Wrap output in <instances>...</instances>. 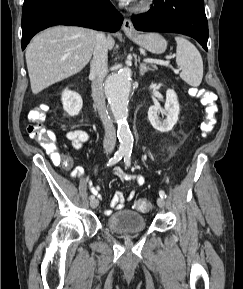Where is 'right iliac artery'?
Listing matches in <instances>:
<instances>
[{"instance_id":"right-iliac-artery-1","label":"right iliac artery","mask_w":243,"mask_h":289,"mask_svg":"<svg viewBox=\"0 0 243 289\" xmlns=\"http://www.w3.org/2000/svg\"><path fill=\"white\" fill-rule=\"evenodd\" d=\"M124 154H125L124 151H117L115 153V155L107 162V166H111V165H114L117 162H119L122 159V157L124 156ZM93 198H94V196L91 195L90 199H93Z\"/></svg>"}]
</instances>
